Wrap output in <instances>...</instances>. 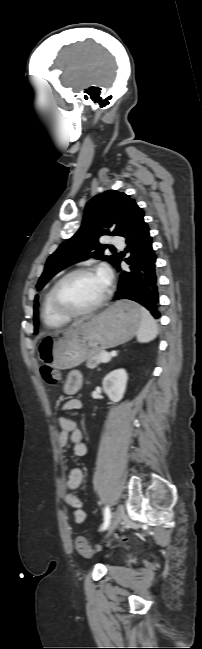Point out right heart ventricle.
<instances>
[{"mask_svg": "<svg viewBox=\"0 0 202 649\" xmlns=\"http://www.w3.org/2000/svg\"><path fill=\"white\" fill-rule=\"evenodd\" d=\"M54 285L44 293L41 304V317L44 324L50 328H58L69 322L70 317L60 314L54 307L51 294Z\"/></svg>", "mask_w": 202, "mask_h": 649, "instance_id": "right-heart-ventricle-1", "label": "right heart ventricle"}]
</instances>
